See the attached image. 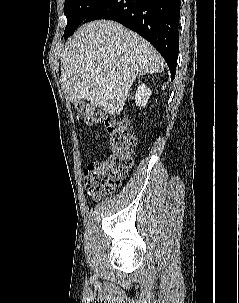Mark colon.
Masks as SVG:
<instances>
[{"label":"colon","instance_id":"colon-1","mask_svg":"<svg viewBox=\"0 0 239 303\" xmlns=\"http://www.w3.org/2000/svg\"><path fill=\"white\" fill-rule=\"evenodd\" d=\"M79 116L87 123L104 121L109 135L110 154L87 164L84 185L87 195L100 200L114 192L132 167V153L135 146L134 132L128 121L104 117L93 107L79 105Z\"/></svg>","mask_w":239,"mask_h":303}]
</instances>
